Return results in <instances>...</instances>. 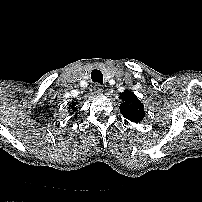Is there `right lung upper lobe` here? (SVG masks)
<instances>
[{
  "label": "right lung upper lobe",
  "instance_id": "right-lung-upper-lobe-1",
  "mask_svg": "<svg viewBox=\"0 0 202 202\" xmlns=\"http://www.w3.org/2000/svg\"><path fill=\"white\" fill-rule=\"evenodd\" d=\"M75 106H76V103H72V105L69 106V109L75 111V110H77V108Z\"/></svg>",
  "mask_w": 202,
  "mask_h": 202
}]
</instances>
